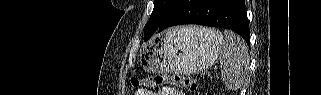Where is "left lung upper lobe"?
Masks as SVG:
<instances>
[{
	"label": "left lung upper lobe",
	"mask_w": 321,
	"mask_h": 95,
	"mask_svg": "<svg viewBox=\"0 0 321 95\" xmlns=\"http://www.w3.org/2000/svg\"><path fill=\"white\" fill-rule=\"evenodd\" d=\"M177 0H154V9L144 27V40L149 39L158 30L161 23Z\"/></svg>",
	"instance_id": "obj_1"
}]
</instances>
